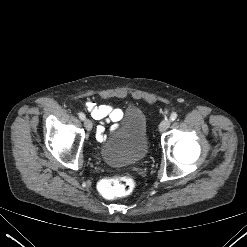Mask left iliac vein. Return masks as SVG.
<instances>
[{
	"instance_id": "left-iliac-vein-1",
	"label": "left iliac vein",
	"mask_w": 247,
	"mask_h": 247,
	"mask_svg": "<svg viewBox=\"0 0 247 247\" xmlns=\"http://www.w3.org/2000/svg\"><path fill=\"white\" fill-rule=\"evenodd\" d=\"M169 126H170V120L164 119L159 125V131L164 132L169 128Z\"/></svg>"
}]
</instances>
